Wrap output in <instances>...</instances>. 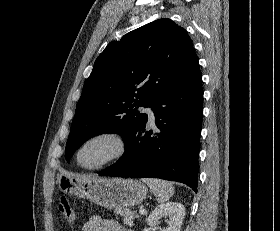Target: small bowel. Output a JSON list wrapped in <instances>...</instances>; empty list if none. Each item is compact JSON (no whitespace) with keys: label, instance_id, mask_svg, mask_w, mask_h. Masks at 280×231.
I'll return each mask as SVG.
<instances>
[{"label":"small bowel","instance_id":"1","mask_svg":"<svg viewBox=\"0 0 280 231\" xmlns=\"http://www.w3.org/2000/svg\"><path fill=\"white\" fill-rule=\"evenodd\" d=\"M81 231H127V229L113 219L93 216L82 225Z\"/></svg>","mask_w":280,"mask_h":231}]
</instances>
